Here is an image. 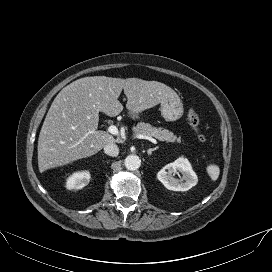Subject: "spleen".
I'll return each mask as SVG.
<instances>
[{
  "label": "spleen",
  "instance_id": "obj_1",
  "mask_svg": "<svg viewBox=\"0 0 272 272\" xmlns=\"http://www.w3.org/2000/svg\"><path fill=\"white\" fill-rule=\"evenodd\" d=\"M206 171L212 181H216L218 179L220 174V169L217 165L215 164L208 165L206 168Z\"/></svg>",
  "mask_w": 272,
  "mask_h": 272
}]
</instances>
